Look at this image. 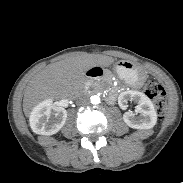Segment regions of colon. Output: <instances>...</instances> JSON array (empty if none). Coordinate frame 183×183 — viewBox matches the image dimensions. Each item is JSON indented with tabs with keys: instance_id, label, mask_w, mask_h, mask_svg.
Masks as SVG:
<instances>
[{
	"instance_id": "obj_1",
	"label": "colon",
	"mask_w": 183,
	"mask_h": 183,
	"mask_svg": "<svg viewBox=\"0 0 183 183\" xmlns=\"http://www.w3.org/2000/svg\"><path fill=\"white\" fill-rule=\"evenodd\" d=\"M145 94L155 103L157 113L162 117L166 109V92L163 86L155 80H147L144 86Z\"/></svg>"
}]
</instances>
